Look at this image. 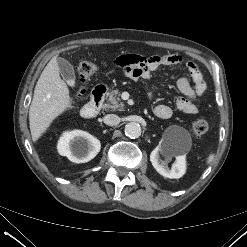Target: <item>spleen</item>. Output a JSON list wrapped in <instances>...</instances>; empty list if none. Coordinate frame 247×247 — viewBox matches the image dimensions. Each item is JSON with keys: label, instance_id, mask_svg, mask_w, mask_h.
I'll return each mask as SVG.
<instances>
[{"label": "spleen", "instance_id": "spleen-1", "mask_svg": "<svg viewBox=\"0 0 247 247\" xmlns=\"http://www.w3.org/2000/svg\"><path fill=\"white\" fill-rule=\"evenodd\" d=\"M214 159V155L213 154H210L208 157H207V163H211Z\"/></svg>", "mask_w": 247, "mask_h": 247}]
</instances>
